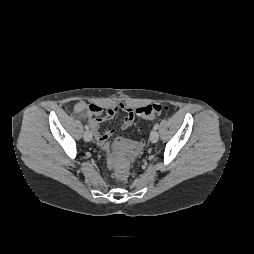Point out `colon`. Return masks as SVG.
Wrapping results in <instances>:
<instances>
[{"label":"colon","instance_id":"obj_1","mask_svg":"<svg viewBox=\"0 0 254 254\" xmlns=\"http://www.w3.org/2000/svg\"><path fill=\"white\" fill-rule=\"evenodd\" d=\"M167 109H168L167 107L162 106L160 104H149V105L137 108L135 110V114L137 116L145 118V119H153V118L159 116L160 114H162ZM88 110H89V112H92L93 107L89 106ZM119 144L123 150L130 152V153L137 154L141 150V148L144 146V141L120 140ZM117 173L121 177H124L126 175V172H125V169L123 166H120L118 168Z\"/></svg>","mask_w":254,"mask_h":254}]
</instances>
